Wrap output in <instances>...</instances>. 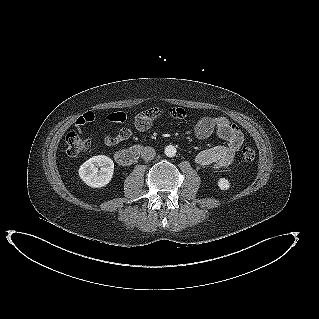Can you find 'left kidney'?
Listing matches in <instances>:
<instances>
[{"label":"left kidney","mask_w":319,"mask_h":319,"mask_svg":"<svg viewBox=\"0 0 319 319\" xmlns=\"http://www.w3.org/2000/svg\"><path fill=\"white\" fill-rule=\"evenodd\" d=\"M218 186L221 190H227L230 187V183L227 179L225 178H220L218 180Z\"/></svg>","instance_id":"left-kidney-1"}]
</instances>
